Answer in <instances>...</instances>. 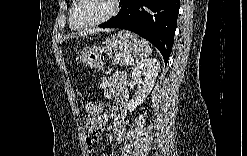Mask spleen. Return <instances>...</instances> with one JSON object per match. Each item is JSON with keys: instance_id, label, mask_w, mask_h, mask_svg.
Returning <instances> with one entry per match:
<instances>
[{"instance_id": "3e777b00", "label": "spleen", "mask_w": 247, "mask_h": 156, "mask_svg": "<svg viewBox=\"0 0 247 156\" xmlns=\"http://www.w3.org/2000/svg\"><path fill=\"white\" fill-rule=\"evenodd\" d=\"M141 47H142V57H148L152 53V49L149 43L145 40H141Z\"/></svg>"}]
</instances>
